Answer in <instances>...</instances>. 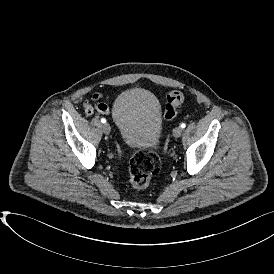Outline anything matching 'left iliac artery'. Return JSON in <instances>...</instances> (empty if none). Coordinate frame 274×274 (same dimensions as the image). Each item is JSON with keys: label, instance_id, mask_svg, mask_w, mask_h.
<instances>
[{"label": "left iliac artery", "instance_id": "left-iliac-artery-1", "mask_svg": "<svg viewBox=\"0 0 274 274\" xmlns=\"http://www.w3.org/2000/svg\"><path fill=\"white\" fill-rule=\"evenodd\" d=\"M185 126H186L185 123H182V124L180 125L181 128H185Z\"/></svg>", "mask_w": 274, "mask_h": 274}]
</instances>
